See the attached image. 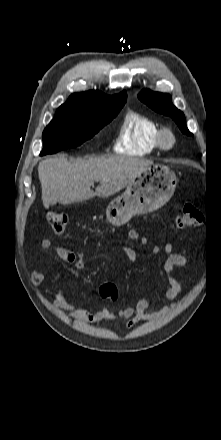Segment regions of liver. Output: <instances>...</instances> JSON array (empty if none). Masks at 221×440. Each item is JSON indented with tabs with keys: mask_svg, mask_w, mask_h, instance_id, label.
Returning a JSON list of instances; mask_svg holds the SVG:
<instances>
[{
	"mask_svg": "<svg viewBox=\"0 0 221 440\" xmlns=\"http://www.w3.org/2000/svg\"><path fill=\"white\" fill-rule=\"evenodd\" d=\"M150 166L151 161L125 156H103L72 162L64 155L46 159L38 165L43 205L47 209L51 204L68 205L95 196H111ZM95 181H99L100 185L94 192L91 186Z\"/></svg>",
	"mask_w": 221,
	"mask_h": 440,
	"instance_id": "6515ba94",
	"label": "liver"
}]
</instances>
